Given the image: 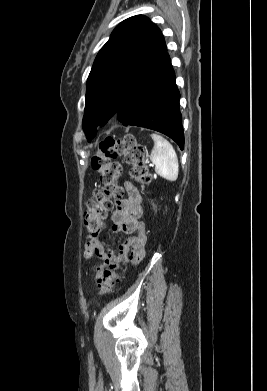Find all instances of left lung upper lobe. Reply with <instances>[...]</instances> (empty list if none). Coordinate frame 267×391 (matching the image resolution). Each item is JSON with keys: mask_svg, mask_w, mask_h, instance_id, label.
Segmentation results:
<instances>
[{"mask_svg": "<svg viewBox=\"0 0 267 391\" xmlns=\"http://www.w3.org/2000/svg\"><path fill=\"white\" fill-rule=\"evenodd\" d=\"M166 52L160 29L143 15L121 22L99 51L86 85L85 134L116 114L135 84Z\"/></svg>", "mask_w": 267, "mask_h": 391, "instance_id": "5c2ea615", "label": "left lung upper lobe"}]
</instances>
